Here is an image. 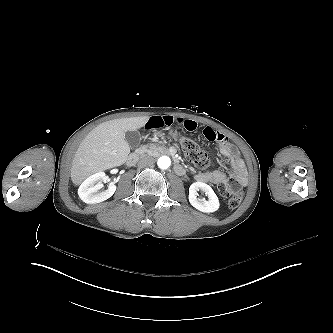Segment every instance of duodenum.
Masks as SVG:
<instances>
[{
    "mask_svg": "<svg viewBox=\"0 0 333 333\" xmlns=\"http://www.w3.org/2000/svg\"><path fill=\"white\" fill-rule=\"evenodd\" d=\"M142 155V151L141 150H137V151H134L132 152L128 158H127V164L129 166H134L137 164V162L139 161L140 157ZM175 171L178 173V174H183L185 169L184 167L180 164V163H176L175 166Z\"/></svg>",
    "mask_w": 333,
    "mask_h": 333,
    "instance_id": "410a0bca",
    "label": "duodenum"
}]
</instances>
